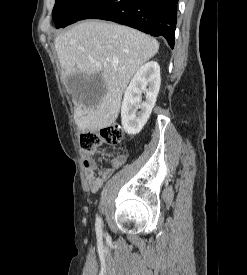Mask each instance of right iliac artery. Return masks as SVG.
I'll use <instances>...</instances> for the list:
<instances>
[{
    "mask_svg": "<svg viewBox=\"0 0 247 275\" xmlns=\"http://www.w3.org/2000/svg\"><path fill=\"white\" fill-rule=\"evenodd\" d=\"M101 225H102L101 219H100V217L97 216V218H96V233L98 236H101V234H102Z\"/></svg>",
    "mask_w": 247,
    "mask_h": 275,
    "instance_id": "obj_1",
    "label": "right iliac artery"
}]
</instances>
